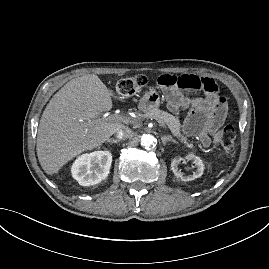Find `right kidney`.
Instances as JSON below:
<instances>
[{"label":"right kidney","mask_w":269,"mask_h":269,"mask_svg":"<svg viewBox=\"0 0 269 269\" xmlns=\"http://www.w3.org/2000/svg\"><path fill=\"white\" fill-rule=\"evenodd\" d=\"M112 155L108 151H94L79 156L71 167L72 177L82 186L104 180L110 171Z\"/></svg>","instance_id":"ca27d5eb"}]
</instances>
